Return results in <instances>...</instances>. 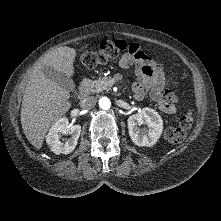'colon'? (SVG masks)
Returning a JSON list of instances; mask_svg holds the SVG:
<instances>
[{
	"instance_id": "1",
	"label": "colon",
	"mask_w": 221,
	"mask_h": 221,
	"mask_svg": "<svg viewBox=\"0 0 221 221\" xmlns=\"http://www.w3.org/2000/svg\"><path fill=\"white\" fill-rule=\"evenodd\" d=\"M121 49L114 44L112 41H104L100 45V48L97 51H86L81 56V62L84 66L93 68L98 65H103L109 60L115 58ZM158 70H161L160 65H156ZM165 97L167 101L173 103L177 101V96L172 90H167L165 92ZM193 116L191 112H187L183 115L177 126L168 127L165 130V138L172 143L182 142L189 129L192 126Z\"/></svg>"
}]
</instances>
